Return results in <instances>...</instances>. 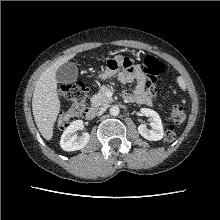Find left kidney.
I'll return each instance as SVG.
<instances>
[{
    "mask_svg": "<svg viewBox=\"0 0 220 220\" xmlns=\"http://www.w3.org/2000/svg\"><path fill=\"white\" fill-rule=\"evenodd\" d=\"M140 111L144 116L149 117L151 129H148L145 124H141L138 126L139 134L149 141L161 140L164 136V130L159 114L149 108H142Z\"/></svg>",
    "mask_w": 220,
    "mask_h": 220,
    "instance_id": "5707ae66",
    "label": "left kidney"
}]
</instances>
